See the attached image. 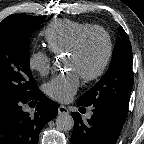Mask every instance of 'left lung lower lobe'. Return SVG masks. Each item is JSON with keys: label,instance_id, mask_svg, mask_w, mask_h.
Here are the masks:
<instances>
[{"label": "left lung lower lobe", "instance_id": "obj_1", "mask_svg": "<svg viewBox=\"0 0 144 144\" xmlns=\"http://www.w3.org/2000/svg\"><path fill=\"white\" fill-rule=\"evenodd\" d=\"M92 111L87 122L82 121L79 113L71 114L74 119L71 144H116L127 114L108 105H97Z\"/></svg>", "mask_w": 144, "mask_h": 144}]
</instances>
